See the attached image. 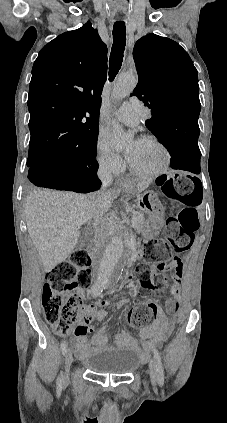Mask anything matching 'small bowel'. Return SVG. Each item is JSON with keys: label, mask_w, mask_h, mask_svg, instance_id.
<instances>
[{"label": "small bowel", "mask_w": 227, "mask_h": 423, "mask_svg": "<svg viewBox=\"0 0 227 423\" xmlns=\"http://www.w3.org/2000/svg\"><path fill=\"white\" fill-rule=\"evenodd\" d=\"M174 297L165 302L166 311L171 315V319H168L161 311H159L153 322L140 330L142 337V344L139 345L130 334H123L117 336V342L125 345L131 349H134L138 353L144 355L150 346L155 345L164 340L174 328V319L177 315L179 304H180V289L178 286H174L173 289ZM92 294V289H91ZM83 295V293H81ZM126 305V301L122 300L116 303H112L108 300L101 299L97 302L87 306L83 319L81 320L78 330L74 333L76 336V348L77 352L84 356L89 353L93 345L104 343L107 336V328L104 326L100 333L96 336L93 344L88 343V334L92 332L89 329V324L94 321H104L107 312L104 308L109 306L123 307Z\"/></svg>", "instance_id": "1"}]
</instances>
